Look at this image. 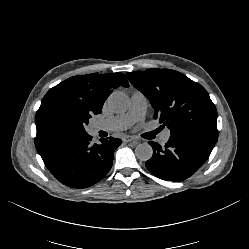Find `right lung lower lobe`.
<instances>
[{"label": "right lung lower lobe", "instance_id": "1", "mask_svg": "<svg viewBox=\"0 0 249 249\" xmlns=\"http://www.w3.org/2000/svg\"><path fill=\"white\" fill-rule=\"evenodd\" d=\"M92 141L88 133L46 142L37 148L46 167L61 183L72 188H86L99 182L111 169L120 139Z\"/></svg>", "mask_w": 249, "mask_h": 249}]
</instances>
